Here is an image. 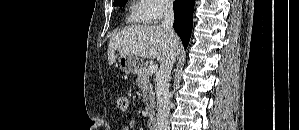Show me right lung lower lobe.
I'll return each mask as SVG.
<instances>
[{
	"mask_svg": "<svg viewBox=\"0 0 299 130\" xmlns=\"http://www.w3.org/2000/svg\"><path fill=\"white\" fill-rule=\"evenodd\" d=\"M194 4L195 0H175L173 5L175 14L173 26L185 48H187L191 36Z\"/></svg>",
	"mask_w": 299,
	"mask_h": 130,
	"instance_id": "obj_1",
	"label": "right lung lower lobe"
}]
</instances>
